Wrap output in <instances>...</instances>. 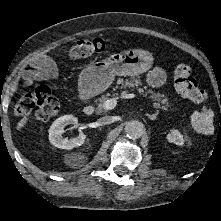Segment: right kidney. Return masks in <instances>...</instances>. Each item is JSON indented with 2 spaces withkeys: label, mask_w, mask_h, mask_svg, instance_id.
Masks as SVG:
<instances>
[{
  "label": "right kidney",
  "mask_w": 221,
  "mask_h": 221,
  "mask_svg": "<svg viewBox=\"0 0 221 221\" xmlns=\"http://www.w3.org/2000/svg\"><path fill=\"white\" fill-rule=\"evenodd\" d=\"M78 125V119L73 115H64L56 119L49 128L50 143L61 149L71 150L74 147L81 146L86 138V135L80 130L79 135L74 138H62L64 128L67 125Z\"/></svg>",
  "instance_id": "1"
}]
</instances>
